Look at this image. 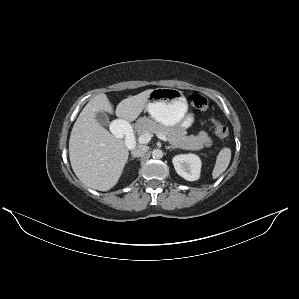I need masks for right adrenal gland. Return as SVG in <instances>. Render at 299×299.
I'll return each instance as SVG.
<instances>
[{"label": "right adrenal gland", "mask_w": 299, "mask_h": 299, "mask_svg": "<svg viewBox=\"0 0 299 299\" xmlns=\"http://www.w3.org/2000/svg\"><path fill=\"white\" fill-rule=\"evenodd\" d=\"M136 158L135 156H132V159Z\"/></svg>", "instance_id": "obj_1"}]
</instances>
